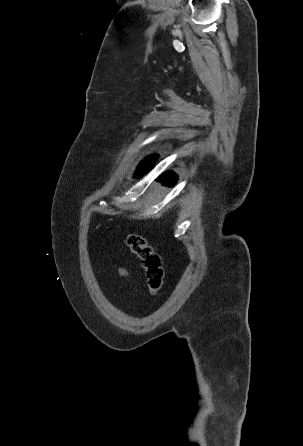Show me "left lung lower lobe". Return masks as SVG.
Listing matches in <instances>:
<instances>
[{"mask_svg": "<svg viewBox=\"0 0 303 446\" xmlns=\"http://www.w3.org/2000/svg\"><path fill=\"white\" fill-rule=\"evenodd\" d=\"M152 166H153L152 158H149V159L141 162V164L137 170V173H136L137 176H141L143 172L148 171ZM160 181H162V183L165 185L172 186L177 181V175L172 171H168L160 177Z\"/></svg>", "mask_w": 303, "mask_h": 446, "instance_id": "obj_1", "label": "left lung lower lobe"}]
</instances>
